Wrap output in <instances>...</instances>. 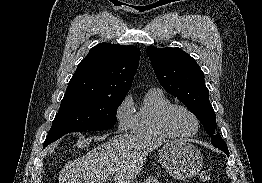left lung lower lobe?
Returning a JSON list of instances; mask_svg holds the SVG:
<instances>
[{"mask_svg":"<svg viewBox=\"0 0 262 183\" xmlns=\"http://www.w3.org/2000/svg\"><path fill=\"white\" fill-rule=\"evenodd\" d=\"M218 148L224 151L227 155L229 154L228 148H225V147H218Z\"/></svg>","mask_w":262,"mask_h":183,"instance_id":"obj_1","label":"left lung lower lobe"}]
</instances>
